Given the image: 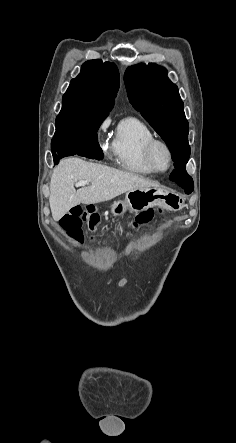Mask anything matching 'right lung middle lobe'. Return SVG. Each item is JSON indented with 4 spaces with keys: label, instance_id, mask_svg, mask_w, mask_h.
Listing matches in <instances>:
<instances>
[{
    "label": "right lung middle lobe",
    "instance_id": "right-lung-middle-lobe-1",
    "mask_svg": "<svg viewBox=\"0 0 236 443\" xmlns=\"http://www.w3.org/2000/svg\"><path fill=\"white\" fill-rule=\"evenodd\" d=\"M108 113H86L61 110L56 117L52 151L63 148L98 145L97 130Z\"/></svg>",
    "mask_w": 236,
    "mask_h": 443
}]
</instances>
